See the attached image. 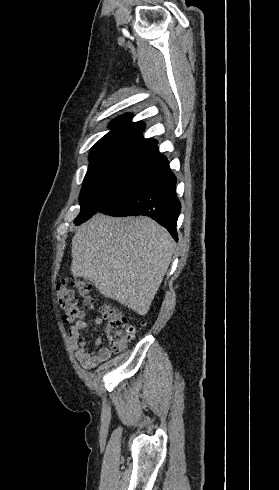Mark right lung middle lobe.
<instances>
[{
	"label": "right lung middle lobe",
	"instance_id": "1",
	"mask_svg": "<svg viewBox=\"0 0 279 490\" xmlns=\"http://www.w3.org/2000/svg\"><path fill=\"white\" fill-rule=\"evenodd\" d=\"M160 165L130 161H111L90 165L80 193V213L74 220L80 225L99 212L104 201L114 192L137 184L153 175Z\"/></svg>",
	"mask_w": 279,
	"mask_h": 490
}]
</instances>
